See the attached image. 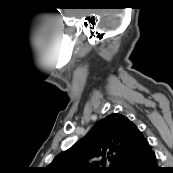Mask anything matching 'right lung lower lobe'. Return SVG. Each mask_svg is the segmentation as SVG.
<instances>
[{"instance_id": "98d812e1", "label": "right lung lower lobe", "mask_w": 173, "mask_h": 173, "mask_svg": "<svg viewBox=\"0 0 173 173\" xmlns=\"http://www.w3.org/2000/svg\"><path fill=\"white\" fill-rule=\"evenodd\" d=\"M163 170L157 166V159L148 146L138 154L126 160L117 173H162Z\"/></svg>"}]
</instances>
